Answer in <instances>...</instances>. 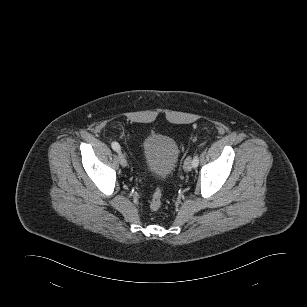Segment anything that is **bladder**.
Instances as JSON below:
<instances>
[{"label":"bladder","instance_id":"1","mask_svg":"<svg viewBox=\"0 0 307 307\" xmlns=\"http://www.w3.org/2000/svg\"><path fill=\"white\" fill-rule=\"evenodd\" d=\"M141 152L148 173L160 180H165L172 174L179 159L176 141L170 136L158 133L143 139Z\"/></svg>","mask_w":307,"mask_h":307}]
</instances>
